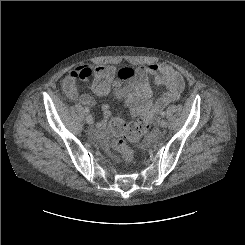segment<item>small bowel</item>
<instances>
[{
  "mask_svg": "<svg viewBox=\"0 0 245 245\" xmlns=\"http://www.w3.org/2000/svg\"><path fill=\"white\" fill-rule=\"evenodd\" d=\"M134 83L131 93L127 97V106L130 112L146 110L150 106L154 93L150 85V77H154L156 86L165 88L164 93L159 96L153 104L155 111H161L168 104L176 101L184 89V81L180 73L172 66L165 63L153 62L140 66L133 71ZM121 75L124 72L120 73ZM93 76L91 89L99 98H104L110 92L115 83L117 71L112 66L99 65L96 67L82 66L69 72L63 82V88L67 97L77 100L83 105H93L94 99L88 94H79L78 80L86 81ZM103 117L97 123L100 131H104L108 125L111 115L109 105L102 107ZM100 134H103L102 132ZM116 159V156H113Z\"/></svg>",
  "mask_w": 245,
  "mask_h": 245,
  "instance_id": "small-bowel-1",
  "label": "small bowel"
}]
</instances>
